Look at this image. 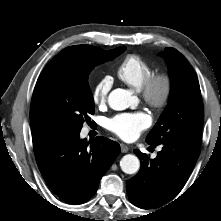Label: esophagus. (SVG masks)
Returning a JSON list of instances; mask_svg holds the SVG:
<instances>
[{"mask_svg": "<svg viewBox=\"0 0 221 221\" xmlns=\"http://www.w3.org/2000/svg\"><path fill=\"white\" fill-rule=\"evenodd\" d=\"M120 147H121V152L122 153H126V152L129 151V147L127 145L123 144V143L120 144Z\"/></svg>", "mask_w": 221, "mask_h": 221, "instance_id": "esophagus-1", "label": "esophagus"}]
</instances>
